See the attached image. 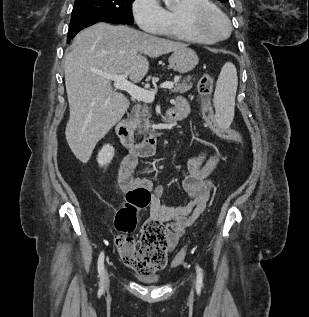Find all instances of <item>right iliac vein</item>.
<instances>
[{
	"label": "right iliac vein",
	"mask_w": 309,
	"mask_h": 317,
	"mask_svg": "<svg viewBox=\"0 0 309 317\" xmlns=\"http://www.w3.org/2000/svg\"><path fill=\"white\" fill-rule=\"evenodd\" d=\"M104 283H105V287H107V286H108V284H109V279H108V273H107V270H106V272H105V281H104Z\"/></svg>",
	"instance_id": "right-iliac-vein-1"
}]
</instances>
